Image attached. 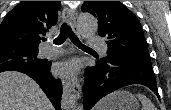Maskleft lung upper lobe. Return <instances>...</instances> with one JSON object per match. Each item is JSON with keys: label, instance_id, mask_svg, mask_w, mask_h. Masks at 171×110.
Returning <instances> with one entry per match:
<instances>
[{"label": "left lung upper lobe", "instance_id": "left-lung-upper-lobe-1", "mask_svg": "<svg viewBox=\"0 0 171 110\" xmlns=\"http://www.w3.org/2000/svg\"><path fill=\"white\" fill-rule=\"evenodd\" d=\"M83 12L98 18L99 36L106 39L107 57L151 64L141 24L134 13L119 1H85Z\"/></svg>", "mask_w": 171, "mask_h": 110}]
</instances>
